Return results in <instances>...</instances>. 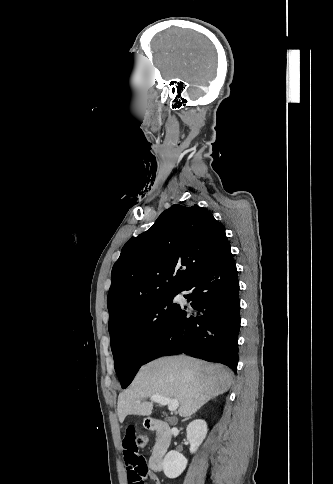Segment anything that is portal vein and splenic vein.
<instances>
[{
    "instance_id": "portal-vein-and-splenic-vein-1",
    "label": "portal vein and splenic vein",
    "mask_w": 333,
    "mask_h": 484,
    "mask_svg": "<svg viewBox=\"0 0 333 484\" xmlns=\"http://www.w3.org/2000/svg\"><path fill=\"white\" fill-rule=\"evenodd\" d=\"M150 400L160 403L161 405H167L169 411H176L179 407V402L177 399L168 398L163 395H153L150 397Z\"/></svg>"
}]
</instances>
